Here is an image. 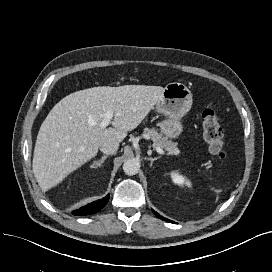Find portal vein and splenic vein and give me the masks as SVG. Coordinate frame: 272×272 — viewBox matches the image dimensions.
Returning a JSON list of instances; mask_svg holds the SVG:
<instances>
[{"instance_id": "portal-vein-and-splenic-vein-1", "label": "portal vein and splenic vein", "mask_w": 272, "mask_h": 272, "mask_svg": "<svg viewBox=\"0 0 272 272\" xmlns=\"http://www.w3.org/2000/svg\"><path fill=\"white\" fill-rule=\"evenodd\" d=\"M112 118H113V111L107 110L103 115V120L101 121L100 126L102 128H106L110 124ZM155 149L159 154H162V155L165 154L162 148L156 147Z\"/></svg>"}]
</instances>
